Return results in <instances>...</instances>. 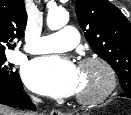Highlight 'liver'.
Returning a JSON list of instances; mask_svg holds the SVG:
<instances>
[{"label":"liver","instance_id":"obj_1","mask_svg":"<svg viewBox=\"0 0 131 115\" xmlns=\"http://www.w3.org/2000/svg\"><path fill=\"white\" fill-rule=\"evenodd\" d=\"M0 115H20L18 112H15L11 108L0 105Z\"/></svg>","mask_w":131,"mask_h":115}]
</instances>
